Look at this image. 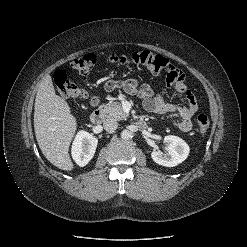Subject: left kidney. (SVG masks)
Returning <instances> with one entry per match:
<instances>
[{"mask_svg":"<svg viewBox=\"0 0 247 247\" xmlns=\"http://www.w3.org/2000/svg\"><path fill=\"white\" fill-rule=\"evenodd\" d=\"M167 153L163 154L159 150H153L151 157L159 165L174 167L182 163L189 155L188 144L180 137L168 135L164 137Z\"/></svg>","mask_w":247,"mask_h":247,"instance_id":"left-kidney-1","label":"left kidney"}]
</instances>
